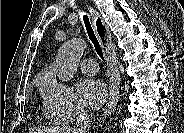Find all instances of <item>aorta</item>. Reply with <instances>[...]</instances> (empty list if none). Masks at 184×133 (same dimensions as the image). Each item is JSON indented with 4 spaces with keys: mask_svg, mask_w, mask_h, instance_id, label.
<instances>
[{
    "mask_svg": "<svg viewBox=\"0 0 184 133\" xmlns=\"http://www.w3.org/2000/svg\"><path fill=\"white\" fill-rule=\"evenodd\" d=\"M86 48V41L80 38H73L60 47L56 57V74L59 80L68 82L74 77Z\"/></svg>",
    "mask_w": 184,
    "mask_h": 133,
    "instance_id": "aorta-1",
    "label": "aorta"
}]
</instances>
